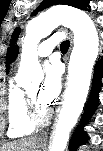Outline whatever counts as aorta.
Here are the masks:
<instances>
[{"label":"aorta","mask_w":103,"mask_h":151,"mask_svg":"<svg viewBox=\"0 0 103 151\" xmlns=\"http://www.w3.org/2000/svg\"><path fill=\"white\" fill-rule=\"evenodd\" d=\"M59 25L67 26L73 31L74 47L69 62L67 89L50 151H64L67 146L70 131L77 123L86 102L92 69L99 51L96 27L85 12L64 6L52 7L30 20L26 26L19 77L41 70L37 45Z\"/></svg>","instance_id":"1"}]
</instances>
